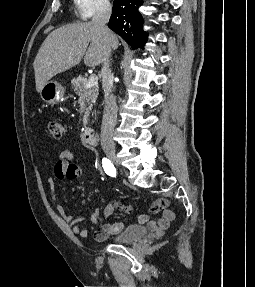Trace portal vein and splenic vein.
Segmentation results:
<instances>
[{"label":"portal vein and splenic vein","mask_w":255,"mask_h":287,"mask_svg":"<svg viewBox=\"0 0 255 287\" xmlns=\"http://www.w3.org/2000/svg\"><path fill=\"white\" fill-rule=\"evenodd\" d=\"M96 82H98L97 76H90L89 82L85 84V88H90L91 84H96Z\"/></svg>","instance_id":"18ae733b"}]
</instances>
